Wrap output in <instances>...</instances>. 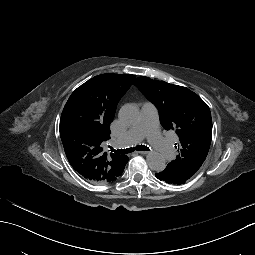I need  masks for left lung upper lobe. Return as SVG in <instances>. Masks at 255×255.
<instances>
[{
  "mask_svg": "<svg viewBox=\"0 0 255 255\" xmlns=\"http://www.w3.org/2000/svg\"><path fill=\"white\" fill-rule=\"evenodd\" d=\"M133 84L158 108L162 126L176 131L180 152L167 168L173 177L182 178L183 184L208 154L212 138L210 109L196 93L182 86L148 77H138Z\"/></svg>",
  "mask_w": 255,
  "mask_h": 255,
  "instance_id": "left-lung-upper-lobe-1",
  "label": "left lung upper lobe"
}]
</instances>
